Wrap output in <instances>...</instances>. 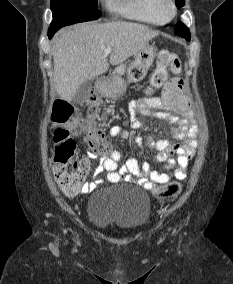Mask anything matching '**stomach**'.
Returning <instances> with one entry per match:
<instances>
[{"label":"stomach","mask_w":233,"mask_h":284,"mask_svg":"<svg viewBox=\"0 0 233 284\" xmlns=\"http://www.w3.org/2000/svg\"><path fill=\"white\" fill-rule=\"evenodd\" d=\"M157 48L153 45H146L134 56V61L127 68V79L120 76V72L105 78L99 85V92L111 98L123 95L126 91L127 83H136L142 81L156 57Z\"/></svg>","instance_id":"0dacf381"}]
</instances>
